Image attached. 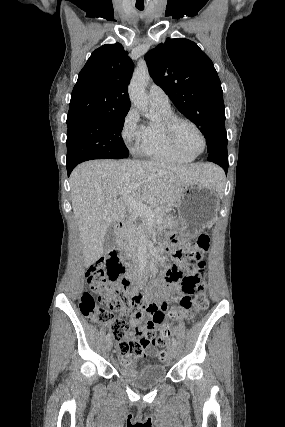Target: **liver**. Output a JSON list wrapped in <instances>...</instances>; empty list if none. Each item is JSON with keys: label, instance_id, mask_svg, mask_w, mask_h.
I'll use <instances>...</instances> for the list:
<instances>
[{"label": "liver", "instance_id": "liver-1", "mask_svg": "<svg viewBox=\"0 0 285 427\" xmlns=\"http://www.w3.org/2000/svg\"><path fill=\"white\" fill-rule=\"evenodd\" d=\"M221 172L209 163L177 165L138 160H93L77 166L70 175L71 200L85 266L104 254L108 227L126 217L130 206L121 193L168 212L176 205L183 186L201 182L216 189Z\"/></svg>", "mask_w": 285, "mask_h": 427}]
</instances>
